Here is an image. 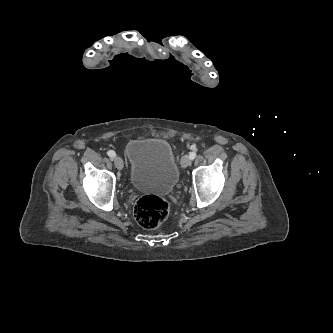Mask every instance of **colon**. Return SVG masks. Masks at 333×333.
<instances>
[{"instance_id": "colon-1", "label": "colon", "mask_w": 333, "mask_h": 333, "mask_svg": "<svg viewBox=\"0 0 333 333\" xmlns=\"http://www.w3.org/2000/svg\"><path fill=\"white\" fill-rule=\"evenodd\" d=\"M169 215V205L156 195L142 196L136 203L134 216L137 223L146 229H153L164 223Z\"/></svg>"}]
</instances>
